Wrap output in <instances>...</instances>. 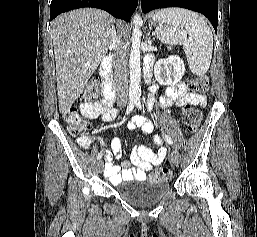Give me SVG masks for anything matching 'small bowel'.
Listing matches in <instances>:
<instances>
[{
	"label": "small bowel",
	"instance_id": "1",
	"mask_svg": "<svg viewBox=\"0 0 257 237\" xmlns=\"http://www.w3.org/2000/svg\"><path fill=\"white\" fill-rule=\"evenodd\" d=\"M149 64L146 66V72L149 75ZM205 102V97L187 92L184 83L180 82L174 87H169L164 96L160 98V104L163 107H169L173 104L181 107L186 104L202 105ZM84 116L90 119L101 117L104 121H112L117 110L111 107V101L104 98L94 102H83L80 106ZM130 128L141 127L144 133H151L153 125L143 117H134L130 121ZM79 145L84 148L92 144L90 136H81L77 139ZM157 144L161 143L159 138L155 139ZM122 154L121 143L118 139H113L111 142V151L106 152L105 176L113 184H119L124 180H144L146 172L153 166L159 165L166 156V148L160 147L154 151L151 148L136 144L131 151L128 161L122 163L121 166L112 163V159L119 158Z\"/></svg>",
	"mask_w": 257,
	"mask_h": 237
}]
</instances>
